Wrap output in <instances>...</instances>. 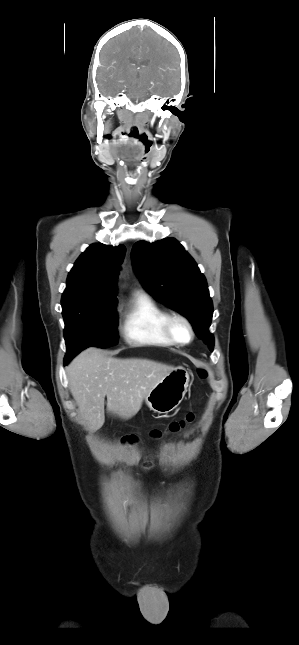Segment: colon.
I'll list each match as a JSON object with an SVG mask.
<instances>
[{
    "label": "colon",
    "instance_id": "obj_1",
    "mask_svg": "<svg viewBox=\"0 0 299 645\" xmlns=\"http://www.w3.org/2000/svg\"><path fill=\"white\" fill-rule=\"evenodd\" d=\"M198 374L200 377L205 378L207 377V370L203 367L198 369ZM195 419V414L193 412H189L186 414V416L177 421L171 422L165 430H160V429H155L151 431V436L153 438H160L163 433H177L181 430H183L185 427L190 425ZM136 441V438L133 436L127 437L125 439V442L128 443H134Z\"/></svg>",
    "mask_w": 299,
    "mask_h": 645
}]
</instances>
